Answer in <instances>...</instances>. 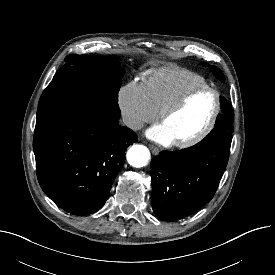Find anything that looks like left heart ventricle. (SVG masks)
Here are the masks:
<instances>
[{"mask_svg": "<svg viewBox=\"0 0 275 275\" xmlns=\"http://www.w3.org/2000/svg\"><path fill=\"white\" fill-rule=\"evenodd\" d=\"M215 107V96L202 91L191 97L176 113L162 122L173 141L187 139L197 134L209 121Z\"/></svg>", "mask_w": 275, "mask_h": 275, "instance_id": "b2bd125f", "label": "left heart ventricle"}]
</instances>
